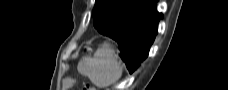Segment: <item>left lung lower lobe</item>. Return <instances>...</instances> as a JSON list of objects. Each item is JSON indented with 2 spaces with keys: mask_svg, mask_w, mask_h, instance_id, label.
I'll use <instances>...</instances> for the list:
<instances>
[{
  "mask_svg": "<svg viewBox=\"0 0 228 90\" xmlns=\"http://www.w3.org/2000/svg\"><path fill=\"white\" fill-rule=\"evenodd\" d=\"M160 17L162 14L156 10V0H132V8L101 33L117 42L120 56L130 73L148 56Z\"/></svg>",
  "mask_w": 228,
  "mask_h": 90,
  "instance_id": "left-lung-lower-lobe-1",
  "label": "left lung lower lobe"
}]
</instances>
